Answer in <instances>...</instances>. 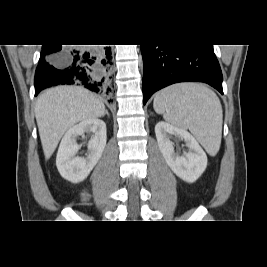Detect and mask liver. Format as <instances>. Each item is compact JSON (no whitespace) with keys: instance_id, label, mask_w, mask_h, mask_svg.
Segmentation results:
<instances>
[{"instance_id":"obj_1","label":"liver","mask_w":267,"mask_h":267,"mask_svg":"<svg viewBox=\"0 0 267 267\" xmlns=\"http://www.w3.org/2000/svg\"><path fill=\"white\" fill-rule=\"evenodd\" d=\"M104 115L103 102L83 87L59 86L41 94L35 116L45 159L52 156L64 133L75 124Z\"/></svg>"}]
</instances>
